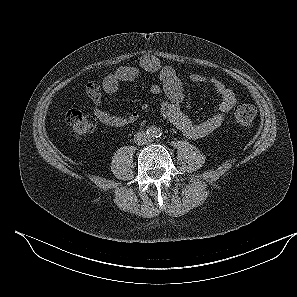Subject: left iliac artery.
<instances>
[{"instance_id": "1", "label": "left iliac artery", "mask_w": 297, "mask_h": 297, "mask_svg": "<svg viewBox=\"0 0 297 297\" xmlns=\"http://www.w3.org/2000/svg\"><path fill=\"white\" fill-rule=\"evenodd\" d=\"M162 135V131L160 129H157L155 132L156 137H160Z\"/></svg>"}]
</instances>
